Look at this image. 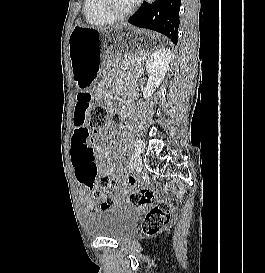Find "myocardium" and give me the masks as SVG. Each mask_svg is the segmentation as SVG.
Listing matches in <instances>:
<instances>
[{"mask_svg":"<svg viewBox=\"0 0 265 273\" xmlns=\"http://www.w3.org/2000/svg\"><path fill=\"white\" fill-rule=\"evenodd\" d=\"M140 1L141 0H135L132 6L125 12L115 13L110 8L111 0H99V9L106 19H108L111 22H116L132 15L134 11L137 9Z\"/></svg>","mask_w":265,"mask_h":273,"instance_id":"myocardium-1","label":"myocardium"}]
</instances>
